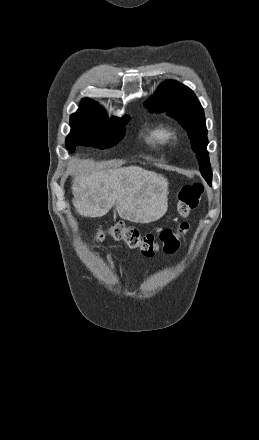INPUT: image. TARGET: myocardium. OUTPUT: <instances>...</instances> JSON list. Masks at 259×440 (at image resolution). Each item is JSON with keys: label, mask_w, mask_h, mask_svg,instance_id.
Wrapping results in <instances>:
<instances>
[{"label": "myocardium", "mask_w": 259, "mask_h": 440, "mask_svg": "<svg viewBox=\"0 0 259 440\" xmlns=\"http://www.w3.org/2000/svg\"><path fill=\"white\" fill-rule=\"evenodd\" d=\"M169 137L172 138V139H176V137H177L176 130H170L169 131Z\"/></svg>", "instance_id": "myocardium-1"}]
</instances>
